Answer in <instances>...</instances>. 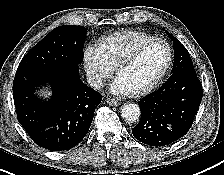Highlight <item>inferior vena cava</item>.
Segmentation results:
<instances>
[{"mask_svg":"<svg viewBox=\"0 0 224 175\" xmlns=\"http://www.w3.org/2000/svg\"><path fill=\"white\" fill-rule=\"evenodd\" d=\"M86 80L94 89L99 90L103 86V79L97 74H87Z\"/></svg>","mask_w":224,"mask_h":175,"instance_id":"602c4592","label":"inferior vena cava"}]
</instances>
